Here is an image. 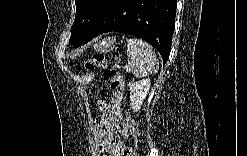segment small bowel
<instances>
[{"label": "small bowel", "mask_w": 247, "mask_h": 156, "mask_svg": "<svg viewBox=\"0 0 247 156\" xmlns=\"http://www.w3.org/2000/svg\"><path fill=\"white\" fill-rule=\"evenodd\" d=\"M122 98L121 92H114L111 102H99L102 115L98 117L94 127L99 155L123 156L131 147L132 136L121 111Z\"/></svg>", "instance_id": "c3829d8e"}]
</instances>
